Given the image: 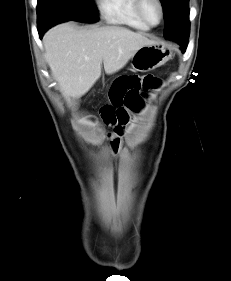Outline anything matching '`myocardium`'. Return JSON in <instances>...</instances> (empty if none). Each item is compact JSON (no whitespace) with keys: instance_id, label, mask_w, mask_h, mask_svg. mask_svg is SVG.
<instances>
[{"instance_id":"obj_1","label":"myocardium","mask_w":231,"mask_h":281,"mask_svg":"<svg viewBox=\"0 0 231 281\" xmlns=\"http://www.w3.org/2000/svg\"><path fill=\"white\" fill-rule=\"evenodd\" d=\"M159 7V11H160V19L157 23H152L148 17L146 16L145 14V11H144V3H145V0H136V9H137V12L140 16V18L148 25V26H151V27H154V26H158L164 19V6H163V3L161 0H153Z\"/></svg>"}]
</instances>
